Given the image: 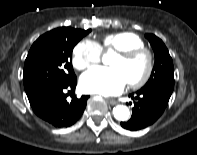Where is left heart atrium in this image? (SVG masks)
Here are the masks:
<instances>
[{
	"mask_svg": "<svg viewBox=\"0 0 197 155\" xmlns=\"http://www.w3.org/2000/svg\"><path fill=\"white\" fill-rule=\"evenodd\" d=\"M126 84L121 71L114 67H94L80 77V87L84 92L104 96L119 94Z\"/></svg>",
	"mask_w": 197,
	"mask_h": 155,
	"instance_id": "obj_1",
	"label": "left heart atrium"
}]
</instances>
